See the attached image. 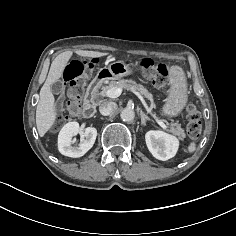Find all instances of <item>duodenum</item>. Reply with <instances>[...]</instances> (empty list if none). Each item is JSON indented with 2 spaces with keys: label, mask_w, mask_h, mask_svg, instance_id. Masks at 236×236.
<instances>
[{
  "label": "duodenum",
  "mask_w": 236,
  "mask_h": 236,
  "mask_svg": "<svg viewBox=\"0 0 236 236\" xmlns=\"http://www.w3.org/2000/svg\"><path fill=\"white\" fill-rule=\"evenodd\" d=\"M105 75L97 76L89 85L86 91L84 105H83V116L86 119H92L96 114V101L95 96L101 83L105 80Z\"/></svg>",
  "instance_id": "duodenum-1"
}]
</instances>
